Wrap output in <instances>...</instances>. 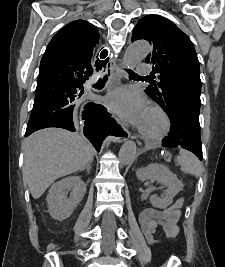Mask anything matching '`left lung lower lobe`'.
Returning a JSON list of instances; mask_svg holds the SVG:
<instances>
[{"mask_svg": "<svg viewBox=\"0 0 225 267\" xmlns=\"http://www.w3.org/2000/svg\"><path fill=\"white\" fill-rule=\"evenodd\" d=\"M200 96L186 94L174 105L171 116V131L162 141L164 147L180 146L193 152L199 159L202 158L200 137Z\"/></svg>", "mask_w": 225, "mask_h": 267, "instance_id": "1", "label": "left lung lower lobe"}]
</instances>
